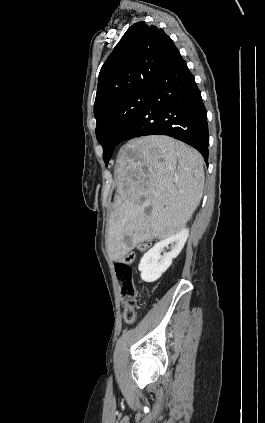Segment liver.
<instances>
[{
	"instance_id": "6515ba94",
	"label": "liver",
	"mask_w": 265,
	"mask_h": 423,
	"mask_svg": "<svg viewBox=\"0 0 265 423\" xmlns=\"http://www.w3.org/2000/svg\"><path fill=\"white\" fill-rule=\"evenodd\" d=\"M203 164L198 151L169 136L136 138L121 147L106 238L111 260L185 227L203 195Z\"/></svg>"
}]
</instances>
